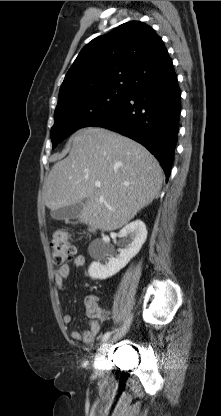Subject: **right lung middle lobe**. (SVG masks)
<instances>
[{"mask_svg": "<svg viewBox=\"0 0 221 416\" xmlns=\"http://www.w3.org/2000/svg\"><path fill=\"white\" fill-rule=\"evenodd\" d=\"M129 93V89L114 88L58 105L54 112L55 123L51 129L53 148L78 129L109 119Z\"/></svg>", "mask_w": 221, "mask_h": 416, "instance_id": "obj_1", "label": "right lung middle lobe"}]
</instances>
